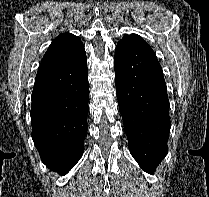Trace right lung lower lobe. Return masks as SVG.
Instances as JSON below:
<instances>
[{"instance_id": "98d812e1", "label": "right lung lower lobe", "mask_w": 209, "mask_h": 197, "mask_svg": "<svg viewBox=\"0 0 209 197\" xmlns=\"http://www.w3.org/2000/svg\"><path fill=\"white\" fill-rule=\"evenodd\" d=\"M89 85L85 50L59 70L35 79L32 138L42 162L65 175L84 152Z\"/></svg>"}]
</instances>
